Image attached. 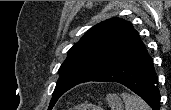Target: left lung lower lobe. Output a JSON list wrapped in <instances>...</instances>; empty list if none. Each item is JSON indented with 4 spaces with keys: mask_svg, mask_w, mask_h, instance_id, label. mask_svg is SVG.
Returning <instances> with one entry per match:
<instances>
[{
    "mask_svg": "<svg viewBox=\"0 0 171 110\" xmlns=\"http://www.w3.org/2000/svg\"><path fill=\"white\" fill-rule=\"evenodd\" d=\"M91 81L120 83L144 99L153 110L160 108V93L153 70V60L147 54L144 44L120 64Z\"/></svg>",
    "mask_w": 171,
    "mask_h": 110,
    "instance_id": "0a47b994",
    "label": "left lung lower lobe"
}]
</instances>
